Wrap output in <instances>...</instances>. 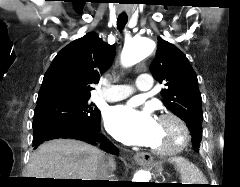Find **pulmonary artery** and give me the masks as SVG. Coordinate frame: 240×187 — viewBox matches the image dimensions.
Returning <instances> with one entry per match:
<instances>
[{
    "instance_id": "pulmonary-artery-1",
    "label": "pulmonary artery",
    "mask_w": 240,
    "mask_h": 187,
    "mask_svg": "<svg viewBox=\"0 0 240 187\" xmlns=\"http://www.w3.org/2000/svg\"><path fill=\"white\" fill-rule=\"evenodd\" d=\"M153 85L152 77L149 74H140L136 80V87L139 91H149ZM134 93L132 86L128 84L113 85L102 93L99 98L108 102L123 100Z\"/></svg>"
}]
</instances>
